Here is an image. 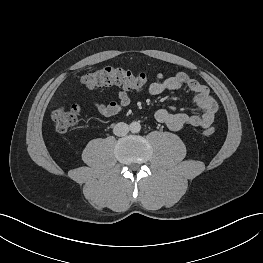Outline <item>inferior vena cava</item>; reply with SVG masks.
Masks as SVG:
<instances>
[{"instance_id": "inferior-vena-cava-1", "label": "inferior vena cava", "mask_w": 263, "mask_h": 263, "mask_svg": "<svg viewBox=\"0 0 263 263\" xmlns=\"http://www.w3.org/2000/svg\"><path fill=\"white\" fill-rule=\"evenodd\" d=\"M130 128L124 122H119L114 126L113 133L116 136H125L129 132Z\"/></svg>"}]
</instances>
